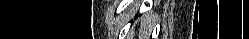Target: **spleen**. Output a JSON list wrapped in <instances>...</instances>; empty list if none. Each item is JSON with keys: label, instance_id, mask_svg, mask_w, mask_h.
<instances>
[{"label": "spleen", "instance_id": "obj_1", "mask_svg": "<svg viewBox=\"0 0 249 39\" xmlns=\"http://www.w3.org/2000/svg\"><path fill=\"white\" fill-rule=\"evenodd\" d=\"M154 18L155 17H151V16H145L142 18L141 30L143 32V36H145L146 34H149L151 32V26L154 22Z\"/></svg>", "mask_w": 249, "mask_h": 39}]
</instances>
